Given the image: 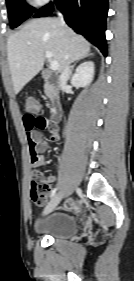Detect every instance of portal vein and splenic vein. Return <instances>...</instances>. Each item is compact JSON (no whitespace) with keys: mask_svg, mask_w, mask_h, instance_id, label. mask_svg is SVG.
<instances>
[{"mask_svg":"<svg viewBox=\"0 0 134 281\" xmlns=\"http://www.w3.org/2000/svg\"><path fill=\"white\" fill-rule=\"evenodd\" d=\"M46 57L49 60H51L50 61V68H51V70H57L58 69V62L55 61V60H52V57H53L52 53L51 52H46Z\"/></svg>","mask_w":134,"mask_h":281,"instance_id":"18ae733b","label":"portal vein and splenic vein"}]
</instances>
